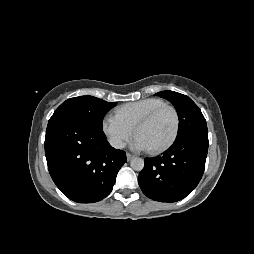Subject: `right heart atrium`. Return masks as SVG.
I'll list each match as a JSON object with an SVG mask.
<instances>
[{
  "instance_id": "right-heart-atrium-1",
  "label": "right heart atrium",
  "mask_w": 254,
  "mask_h": 254,
  "mask_svg": "<svg viewBox=\"0 0 254 254\" xmlns=\"http://www.w3.org/2000/svg\"><path fill=\"white\" fill-rule=\"evenodd\" d=\"M102 131L109 143L116 149L123 148L134 134L133 127L111 114L103 118Z\"/></svg>"
}]
</instances>
